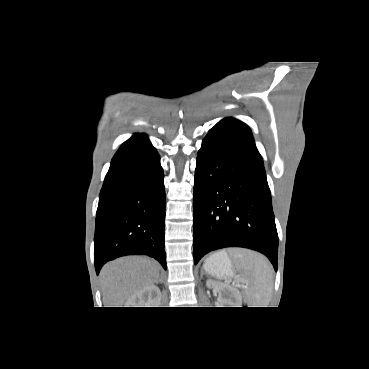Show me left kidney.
<instances>
[{
	"instance_id": "1",
	"label": "left kidney",
	"mask_w": 369,
	"mask_h": 369,
	"mask_svg": "<svg viewBox=\"0 0 369 369\" xmlns=\"http://www.w3.org/2000/svg\"><path fill=\"white\" fill-rule=\"evenodd\" d=\"M206 286L208 288H213L219 292V302L221 305H228L227 307L242 306V296L238 290L230 288L223 283L216 282L211 279H208L206 281Z\"/></svg>"
}]
</instances>
